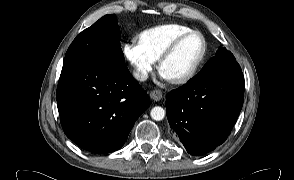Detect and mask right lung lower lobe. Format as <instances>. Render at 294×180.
<instances>
[{
    "label": "right lung lower lobe",
    "instance_id": "right-lung-lower-lobe-1",
    "mask_svg": "<svg viewBox=\"0 0 294 180\" xmlns=\"http://www.w3.org/2000/svg\"><path fill=\"white\" fill-rule=\"evenodd\" d=\"M56 97L66 136L98 154L122 147L150 105L125 64L112 61H86L62 70Z\"/></svg>",
    "mask_w": 294,
    "mask_h": 180
}]
</instances>
